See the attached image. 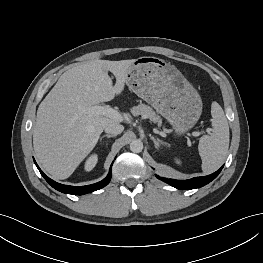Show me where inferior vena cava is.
I'll list each match as a JSON object with an SVG mask.
<instances>
[{
	"label": "inferior vena cava",
	"instance_id": "obj_1",
	"mask_svg": "<svg viewBox=\"0 0 263 263\" xmlns=\"http://www.w3.org/2000/svg\"><path fill=\"white\" fill-rule=\"evenodd\" d=\"M104 130L106 133L116 136L124 130V127L119 123H109L104 127Z\"/></svg>",
	"mask_w": 263,
	"mask_h": 263
}]
</instances>
